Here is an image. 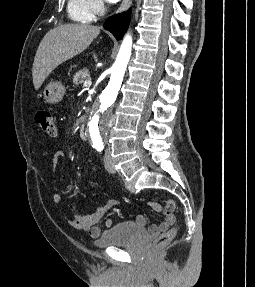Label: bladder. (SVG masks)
<instances>
[{
	"label": "bladder",
	"instance_id": "1",
	"mask_svg": "<svg viewBox=\"0 0 255 287\" xmlns=\"http://www.w3.org/2000/svg\"><path fill=\"white\" fill-rule=\"evenodd\" d=\"M147 229L133 221H122L110 227L95 241L100 248L128 245L144 236Z\"/></svg>",
	"mask_w": 255,
	"mask_h": 287
}]
</instances>
